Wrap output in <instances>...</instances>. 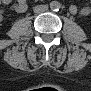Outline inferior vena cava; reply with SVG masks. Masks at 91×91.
Masks as SVG:
<instances>
[{
    "label": "inferior vena cava",
    "instance_id": "obj_1",
    "mask_svg": "<svg viewBox=\"0 0 91 91\" xmlns=\"http://www.w3.org/2000/svg\"><path fill=\"white\" fill-rule=\"evenodd\" d=\"M33 10L35 13L45 12L48 10V6L47 5H38V6H35Z\"/></svg>",
    "mask_w": 91,
    "mask_h": 91
}]
</instances>
